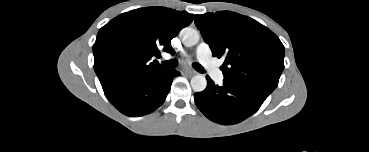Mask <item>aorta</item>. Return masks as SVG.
I'll list each match as a JSON object with an SVG mask.
<instances>
[{"mask_svg":"<svg viewBox=\"0 0 369 152\" xmlns=\"http://www.w3.org/2000/svg\"><path fill=\"white\" fill-rule=\"evenodd\" d=\"M182 43L187 47L196 45L200 39L199 32L193 28L186 27L180 32ZM207 86V80L204 75L198 74L192 77L191 87L195 92H202Z\"/></svg>","mask_w":369,"mask_h":152,"instance_id":"aorta-1","label":"aorta"}]
</instances>
